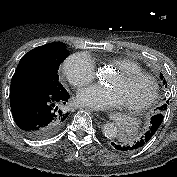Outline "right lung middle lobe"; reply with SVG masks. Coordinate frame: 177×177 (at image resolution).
Returning a JSON list of instances; mask_svg holds the SVG:
<instances>
[{
  "label": "right lung middle lobe",
  "instance_id": "right-lung-middle-lobe-1",
  "mask_svg": "<svg viewBox=\"0 0 177 177\" xmlns=\"http://www.w3.org/2000/svg\"><path fill=\"white\" fill-rule=\"evenodd\" d=\"M69 55L65 44L49 50L37 49L24 55L12 77L11 86L31 85L49 88L53 91H64L59 82L58 69Z\"/></svg>",
  "mask_w": 177,
  "mask_h": 177
}]
</instances>
